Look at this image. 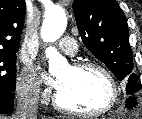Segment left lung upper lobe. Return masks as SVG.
<instances>
[{
  "instance_id": "5c2ea615",
  "label": "left lung upper lobe",
  "mask_w": 142,
  "mask_h": 119,
  "mask_svg": "<svg viewBox=\"0 0 142 119\" xmlns=\"http://www.w3.org/2000/svg\"><path fill=\"white\" fill-rule=\"evenodd\" d=\"M73 11L87 49L102 61L120 81H127L126 93L140 90L133 70L132 50L126 17L116 0H74Z\"/></svg>"
}]
</instances>
